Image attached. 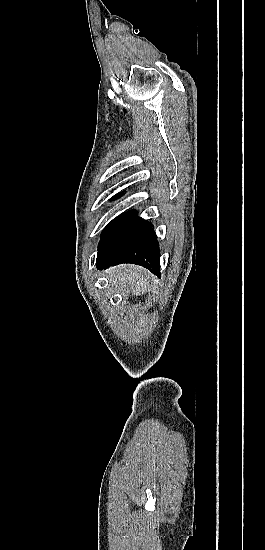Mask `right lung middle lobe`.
Segmentation results:
<instances>
[{
	"instance_id": "dd1d6c3e",
	"label": "right lung middle lobe",
	"mask_w": 265,
	"mask_h": 550,
	"mask_svg": "<svg viewBox=\"0 0 265 550\" xmlns=\"http://www.w3.org/2000/svg\"><path fill=\"white\" fill-rule=\"evenodd\" d=\"M123 195V192L115 195L112 199H117ZM141 220L137 216V211H128L113 219L103 230L100 243L98 245V254L108 253L113 250L139 223Z\"/></svg>"
}]
</instances>
